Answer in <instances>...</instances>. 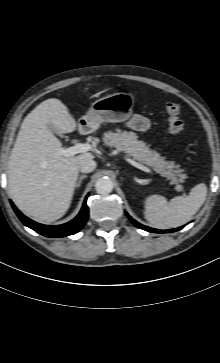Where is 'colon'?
I'll return each instance as SVG.
<instances>
[{"mask_svg":"<svg viewBox=\"0 0 220 363\" xmlns=\"http://www.w3.org/2000/svg\"><path fill=\"white\" fill-rule=\"evenodd\" d=\"M180 105L176 102H169L166 105V112L169 120V130L171 133L179 135L184 131V122L180 119Z\"/></svg>","mask_w":220,"mask_h":363,"instance_id":"1","label":"colon"}]
</instances>
